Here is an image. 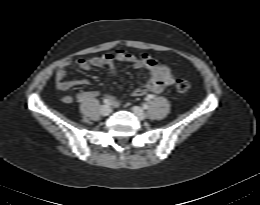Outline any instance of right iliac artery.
<instances>
[{
    "instance_id": "right-iliac-artery-1",
    "label": "right iliac artery",
    "mask_w": 260,
    "mask_h": 205,
    "mask_svg": "<svg viewBox=\"0 0 260 205\" xmlns=\"http://www.w3.org/2000/svg\"><path fill=\"white\" fill-rule=\"evenodd\" d=\"M103 103H104V104H109L110 101H109V99H104V100H103Z\"/></svg>"
}]
</instances>
